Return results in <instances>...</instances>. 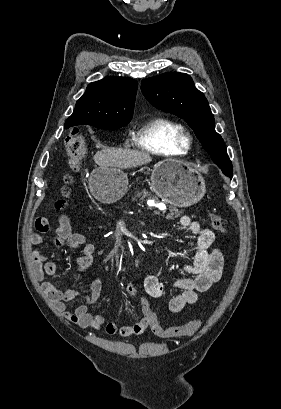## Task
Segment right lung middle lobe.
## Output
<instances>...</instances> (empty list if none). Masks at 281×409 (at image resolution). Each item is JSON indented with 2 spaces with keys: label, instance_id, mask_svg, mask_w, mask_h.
Returning a JSON list of instances; mask_svg holds the SVG:
<instances>
[{
  "label": "right lung middle lobe",
  "instance_id": "right-lung-middle-lobe-1",
  "mask_svg": "<svg viewBox=\"0 0 281 409\" xmlns=\"http://www.w3.org/2000/svg\"><path fill=\"white\" fill-rule=\"evenodd\" d=\"M127 124H115V125H93L94 127L105 129V130H115L119 129Z\"/></svg>",
  "mask_w": 281,
  "mask_h": 409
}]
</instances>
